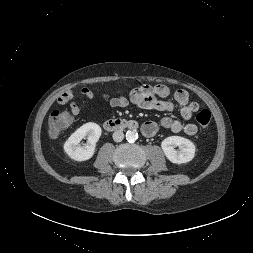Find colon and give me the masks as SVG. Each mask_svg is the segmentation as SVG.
I'll return each mask as SVG.
<instances>
[{
	"mask_svg": "<svg viewBox=\"0 0 253 253\" xmlns=\"http://www.w3.org/2000/svg\"><path fill=\"white\" fill-rule=\"evenodd\" d=\"M196 120L201 127H207L211 121V112L208 109H202L196 115ZM71 122L72 116L68 112L53 111L49 123L50 135L52 137L59 136L70 126Z\"/></svg>",
	"mask_w": 253,
	"mask_h": 253,
	"instance_id": "5ec220e1",
	"label": "colon"
}]
</instances>
